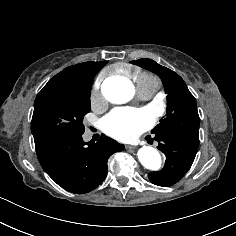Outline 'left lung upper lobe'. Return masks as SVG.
I'll return each mask as SVG.
<instances>
[{
    "label": "left lung upper lobe",
    "instance_id": "1",
    "mask_svg": "<svg viewBox=\"0 0 236 236\" xmlns=\"http://www.w3.org/2000/svg\"><path fill=\"white\" fill-rule=\"evenodd\" d=\"M130 63L158 74L167 93V115L152 130L151 133L155 134V138L167 132L198 138L200 119L196 100L183 79L174 71L151 59H139Z\"/></svg>",
    "mask_w": 236,
    "mask_h": 236
}]
</instances>
